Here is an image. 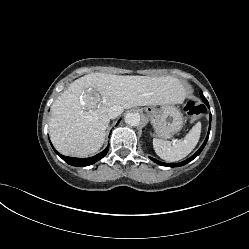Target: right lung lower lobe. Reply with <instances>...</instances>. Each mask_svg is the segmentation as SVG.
<instances>
[{"mask_svg": "<svg viewBox=\"0 0 249 249\" xmlns=\"http://www.w3.org/2000/svg\"><path fill=\"white\" fill-rule=\"evenodd\" d=\"M52 146V144H51ZM52 148L54 149V147L52 146ZM109 148L107 147L104 151H102L101 153L90 157V158H74V157H67V156H63L60 153H58L55 149L54 151L64 160L66 161L68 164L73 165V166H80V167H84V166H88L91 165L97 161H99L100 159H102L108 152Z\"/></svg>", "mask_w": 249, "mask_h": 249, "instance_id": "1", "label": "right lung lower lobe"}]
</instances>
